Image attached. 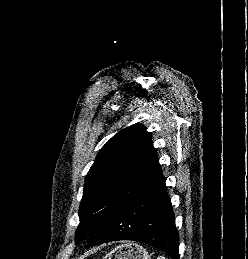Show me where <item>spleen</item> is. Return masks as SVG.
Segmentation results:
<instances>
[{
  "instance_id": "3e777b00",
  "label": "spleen",
  "mask_w": 248,
  "mask_h": 259,
  "mask_svg": "<svg viewBox=\"0 0 248 259\" xmlns=\"http://www.w3.org/2000/svg\"><path fill=\"white\" fill-rule=\"evenodd\" d=\"M157 259H166L164 256H159Z\"/></svg>"
}]
</instances>
